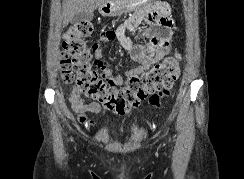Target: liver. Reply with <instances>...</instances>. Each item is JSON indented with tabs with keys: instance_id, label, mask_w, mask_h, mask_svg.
<instances>
[{
	"instance_id": "liver-1",
	"label": "liver",
	"mask_w": 244,
	"mask_h": 179,
	"mask_svg": "<svg viewBox=\"0 0 244 179\" xmlns=\"http://www.w3.org/2000/svg\"><path fill=\"white\" fill-rule=\"evenodd\" d=\"M106 0H63V24L66 26L76 14H81V12H85V14H89V12H93L96 10L97 6L100 4H104Z\"/></svg>"
}]
</instances>
